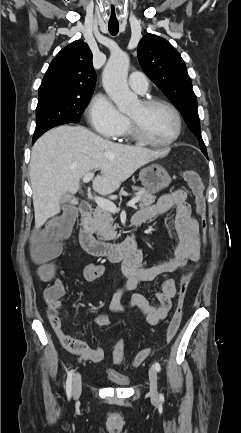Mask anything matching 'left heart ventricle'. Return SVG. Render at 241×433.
<instances>
[{
	"label": "left heart ventricle",
	"instance_id": "obj_1",
	"mask_svg": "<svg viewBox=\"0 0 241 433\" xmlns=\"http://www.w3.org/2000/svg\"><path fill=\"white\" fill-rule=\"evenodd\" d=\"M144 134L153 141L164 142L176 132V120L172 112L163 106L145 108L141 102L128 113Z\"/></svg>",
	"mask_w": 241,
	"mask_h": 433
}]
</instances>
